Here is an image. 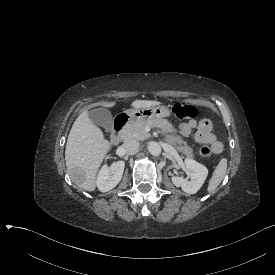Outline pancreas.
<instances>
[{"instance_id": "pancreas-1", "label": "pancreas", "mask_w": 275, "mask_h": 275, "mask_svg": "<svg viewBox=\"0 0 275 275\" xmlns=\"http://www.w3.org/2000/svg\"><path fill=\"white\" fill-rule=\"evenodd\" d=\"M159 127L163 132H175L172 124L166 119L134 120L130 121L122 130L124 139L145 140L150 133L145 131V127ZM177 150L189 158H193L192 149L188 146H178Z\"/></svg>"}]
</instances>
